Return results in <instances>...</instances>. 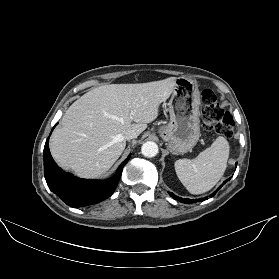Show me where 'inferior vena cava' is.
I'll return each mask as SVG.
<instances>
[{
	"label": "inferior vena cava",
	"mask_w": 279,
	"mask_h": 279,
	"mask_svg": "<svg viewBox=\"0 0 279 279\" xmlns=\"http://www.w3.org/2000/svg\"><path fill=\"white\" fill-rule=\"evenodd\" d=\"M138 133L135 132L134 130H130L126 133L125 135V140L130 141L131 139L137 138Z\"/></svg>",
	"instance_id": "602c4592"
}]
</instances>
